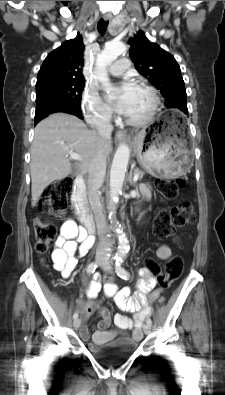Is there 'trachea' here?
Returning a JSON list of instances; mask_svg holds the SVG:
<instances>
[{
    "instance_id": "trachea-1",
    "label": "trachea",
    "mask_w": 225,
    "mask_h": 395,
    "mask_svg": "<svg viewBox=\"0 0 225 395\" xmlns=\"http://www.w3.org/2000/svg\"><path fill=\"white\" fill-rule=\"evenodd\" d=\"M107 26H108V21H104L103 19L99 20V22H98V24H97L98 31H99L101 34H104V32H105Z\"/></svg>"
}]
</instances>
